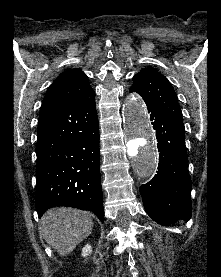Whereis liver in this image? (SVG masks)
Segmentation results:
<instances>
[{
	"label": "liver",
	"instance_id": "obj_1",
	"mask_svg": "<svg viewBox=\"0 0 221 277\" xmlns=\"http://www.w3.org/2000/svg\"><path fill=\"white\" fill-rule=\"evenodd\" d=\"M92 229L89 212L66 207L47 210L39 225L40 234L61 256L70 254Z\"/></svg>",
	"mask_w": 221,
	"mask_h": 277
}]
</instances>
